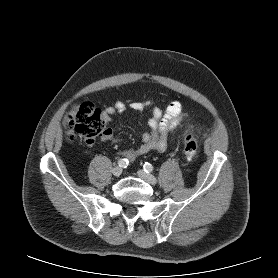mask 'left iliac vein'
Instances as JSON below:
<instances>
[{"label":"left iliac vein","instance_id":"left-iliac-vein-1","mask_svg":"<svg viewBox=\"0 0 278 278\" xmlns=\"http://www.w3.org/2000/svg\"><path fill=\"white\" fill-rule=\"evenodd\" d=\"M137 174L141 179L145 180L151 185H155L157 183L156 178L152 174L146 173L144 170H138Z\"/></svg>","mask_w":278,"mask_h":278}]
</instances>
